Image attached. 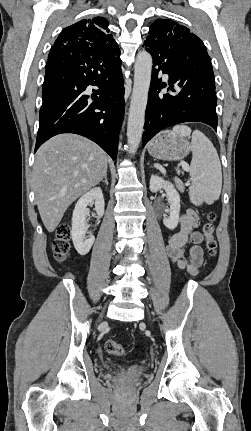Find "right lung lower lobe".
<instances>
[{
    "label": "right lung lower lobe",
    "mask_w": 251,
    "mask_h": 431,
    "mask_svg": "<svg viewBox=\"0 0 251 431\" xmlns=\"http://www.w3.org/2000/svg\"><path fill=\"white\" fill-rule=\"evenodd\" d=\"M89 85L98 89L90 94ZM42 100L35 152L57 134L76 133L117 159L124 116L121 60L107 65L100 59L75 56L63 49L53 52L46 63Z\"/></svg>",
    "instance_id": "obj_1"
}]
</instances>
